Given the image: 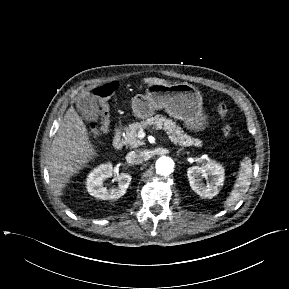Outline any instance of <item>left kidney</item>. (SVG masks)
I'll return each mask as SVG.
<instances>
[{"mask_svg":"<svg viewBox=\"0 0 289 289\" xmlns=\"http://www.w3.org/2000/svg\"><path fill=\"white\" fill-rule=\"evenodd\" d=\"M192 190L203 198H213L219 193L224 182V168L216 161H209L205 166H192L187 170ZM203 179L206 180L204 183Z\"/></svg>","mask_w":289,"mask_h":289,"instance_id":"left-kidney-1","label":"left kidney"}]
</instances>
